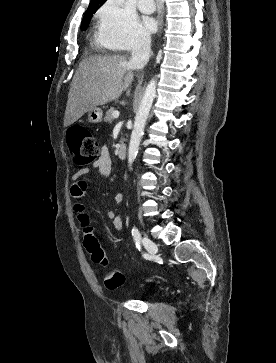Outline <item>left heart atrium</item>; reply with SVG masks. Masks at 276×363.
I'll use <instances>...</instances> for the list:
<instances>
[{"mask_svg":"<svg viewBox=\"0 0 276 363\" xmlns=\"http://www.w3.org/2000/svg\"><path fill=\"white\" fill-rule=\"evenodd\" d=\"M143 25L148 32H153L156 29V20L152 17H144Z\"/></svg>","mask_w":276,"mask_h":363,"instance_id":"obj_1","label":"left heart atrium"}]
</instances>
